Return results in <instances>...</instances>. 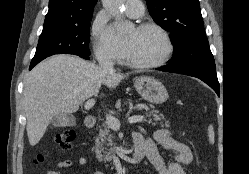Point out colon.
I'll list each match as a JSON object with an SVG mask.
<instances>
[{"mask_svg": "<svg viewBox=\"0 0 249 174\" xmlns=\"http://www.w3.org/2000/svg\"><path fill=\"white\" fill-rule=\"evenodd\" d=\"M75 139V132L71 129H65L55 135L54 141L56 145L61 149H68L71 147ZM46 158V155L41 153L38 154L35 158V161L42 163Z\"/></svg>", "mask_w": 249, "mask_h": 174, "instance_id": "1", "label": "colon"}]
</instances>
